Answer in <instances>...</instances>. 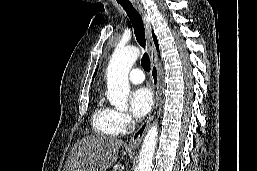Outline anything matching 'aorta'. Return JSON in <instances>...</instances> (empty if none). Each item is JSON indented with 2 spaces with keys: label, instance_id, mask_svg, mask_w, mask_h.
Instances as JSON below:
<instances>
[{
  "label": "aorta",
  "instance_id": "obj_1",
  "mask_svg": "<svg viewBox=\"0 0 257 171\" xmlns=\"http://www.w3.org/2000/svg\"><path fill=\"white\" fill-rule=\"evenodd\" d=\"M139 55L140 50L137 47L116 48L108 64V99L118 109L127 107L130 91L128 74ZM157 137L158 125L155 122L143 140L137 171H151Z\"/></svg>",
  "mask_w": 257,
  "mask_h": 171
}]
</instances>
